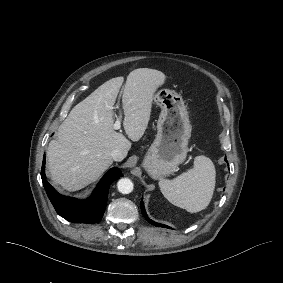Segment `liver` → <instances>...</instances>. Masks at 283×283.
Segmentation results:
<instances>
[{
  "mask_svg": "<svg viewBox=\"0 0 283 283\" xmlns=\"http://www.w3.org/2000/svg\"><path fill=\"white\" fill-rule=\"evenodd\" d=\"M165 74L149 68L129 73L122 96L123 127L128 138L139 141L150 119L153 93L164 84ZM124 81H106L78 103L58 128L57 140L47 149L51 178L68 191H76L96 181L113 163L111 152L125 156L131 142L114 130L117 95Z\"/></svg>",
  "mask_w": 283,
  "mask_h": 283,
  "instance_id": "obj_1",
  "label": "liver"
}]
</instances>
